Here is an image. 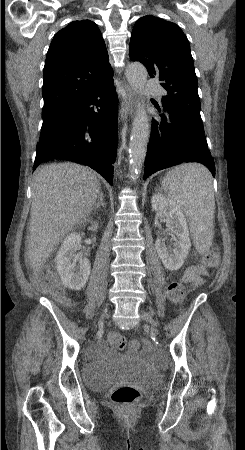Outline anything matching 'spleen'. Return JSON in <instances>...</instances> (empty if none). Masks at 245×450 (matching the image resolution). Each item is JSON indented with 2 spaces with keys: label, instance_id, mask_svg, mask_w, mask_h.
I'll use <instances>...</instances> for the list:
<instances>
[{
  "label": "spleen",
  "instance_id": "3e777b00",
  "mask_svg": "<svg viewBox=\"0 0 245 450\" xmlns=\"http://www.w3.org/2000/svg\"><path fill=\"white\" fill-rule=\"evenodd\" d=\"M162 188L186 214L197 251L202 254L207 252L214 236L215 213L214 189L209 170L198 163L180 165L163 178Z\"/></svg>",
  "mask_w": 245,
  "mask_h": 450
}]
</instances>
